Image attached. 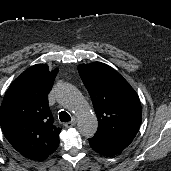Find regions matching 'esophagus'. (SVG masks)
Returning a JSON list of instances; mask_svg holds the SVG:
<instances>
[{
    "mask_svg": "<svg viewBox=\"0 0 171 171\" xmlns=\"http://www.w3.org/2000/svg\"><path fill=\"white\" fill-rule=\"evenodd\" d=\"M76 123H77V118L76 117H73V119L70 122L65 123L64 126L66 128H69V127L74 126Z\"/></svg>",
    "mask_w": 171,
    "mask_h": 171,
    "instance_id": "esophagus-1",
    "label": "esophagus"
}]
</instances>
